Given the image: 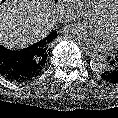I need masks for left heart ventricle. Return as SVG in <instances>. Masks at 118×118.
I'll use <instances>...</instances> for the list:
<instances>
[{"label":"left heart ventricle","instance_id":"left-heart-ventricle-1","mask_svg":"<svg viewBox=\"0 0 118 118\" xmlns=\"http://www.w3.org/2000/svg\"><path fill=\"white\" fill-rule=\"evenodd\" d=\"M94 21L97 25L105 28L112 40V44L118 43V9L111 16L99 13Z\"/></svg>","mask_w":118,"mask_h":118}]
</instances>
